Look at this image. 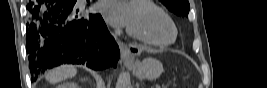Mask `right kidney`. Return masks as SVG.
I'll list each match as a JSON object with an SVG mask.
<instances>
[{"label":"right kidney","mask_w":267,"mask_h":88,"mask_svg":"<svg viewBox=\"0 0 267 88\" xmlns=\"http://www.w3.org/2000/svg\"><path fill=\"white\" fill-rule=\"evenodd\" d=\"M57 88H80L77 83L65 82L57 86Z\"/></svg>","instance_id":"right-kidney-1"}]
</instances>
